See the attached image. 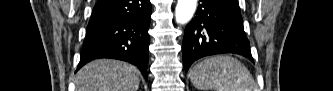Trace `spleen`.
I'll return each instance as SVG.
<instances>
[{"mask_svg":"<svg viewBox=\"0 0 333 91\" xmlns=\"http://www.w3.org/2000/svg\"><path fill=\"white\" fill-rule=\"evenodd\" d=\"M189 77L200 91H258L246 66L229 55L211 57L195 64Z\"/></svg>","mask_w":333,"mask_h":91,"instance_id":"obj_1","label":"spleen"}]
</instances>
